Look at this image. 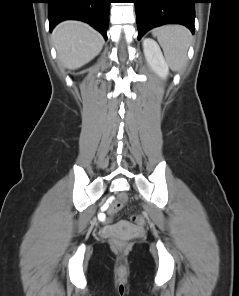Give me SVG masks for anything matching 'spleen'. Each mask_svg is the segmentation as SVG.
<instances>
[{
  "label": "spleen",
  "mask_w": 239,
  "mask_h": 296,
  "mask_svg": "<svg viewBox=\"0 0 239 296\" xmlns=\"http://www.w3.org/2000/svg\"><path fill=\"white\" fill-rule=\"evenodd\" d=\"M161 45L169 67L180 71L186 64L187 51L191 42L190 31L180 25H166L152 32Z\"/></svg>",
  "instance_id": "1"
}]
</instances>
